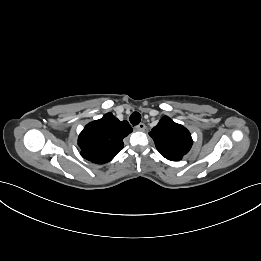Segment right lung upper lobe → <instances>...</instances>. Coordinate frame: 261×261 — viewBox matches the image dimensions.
I'll return each mask as SVG.
<instances>
[{"instance_id":"cb5924a9","label":"right lung upper lobe","mask_w":261,"mask_h":261,"mask_svg":"<svg viewBox=\"0 0 261 261\" xmlns=\"http://www.w3.org/2000/svg\"><path fill=\"white\" fill-rule=\"evenodd\" d=\"M132 131L127 121H119L109 112L87 124L80 133L78 146L81 155L93 163H107L122 150L123 139Z\"/></svg>"}]
</instances>
